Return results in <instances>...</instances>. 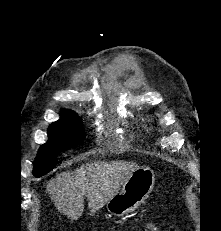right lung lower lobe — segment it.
<instances>
[{"label": "right lung lower lobe", "mask_w": 221, "mask_h": 231, "mask_svg": "<svg viewBox=\"0 0 221 231\" xmlns=\"http://www.w3.org/2000/svg\"><path fill=\"white\" fill-rule=\"evenodd\" d=\"M34 175H35V176H37V177H40V176H41V175H40V174H38V173H37V174H36V173H34Z\"/></svg>", "instance_id": "98d812e1"}]
</instances>
